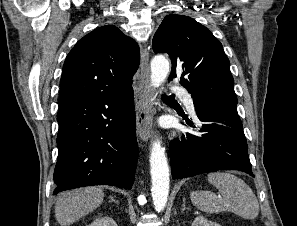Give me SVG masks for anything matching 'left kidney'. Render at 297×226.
<instances>
[{
  "label": "left kidney",
  "mask_w": 297,
  "mask_h": 226,
  "mask_svg": "<svg viewBox=\"0 0 297 226\" xmlns=\"http://www.w3.org/2000/svg\"><path fill=\"white\" fill-rule=\"evenodd\" d=\"M192 226H221V225H219L218 223L209 221L203 216H197L194 219Z\"/></svg>",
  "instance_id": "left-kidney-1"
}]
</instances>
